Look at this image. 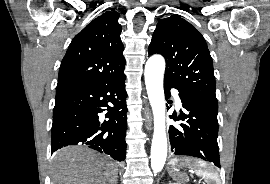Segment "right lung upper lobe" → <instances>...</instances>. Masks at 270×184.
<instances>
[{"mask_svg": "<svg viewBox=\"0 0 270 184\" xmlns=\"http://www.w3.org/2000/svg\"><path fill=\"white\" fill-rule=\"evenodd\" d=\"M119 17L114 9L108 11L74 37L60 65L56 92L90 86L124 74Z\"/></svg>", "mask_w": 270, "mask_h": 184, "instance_id": "right-lung-upper-lobe-1", "label": "right lung upper lobe"}]
</instances>
